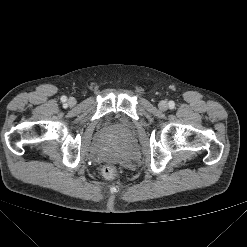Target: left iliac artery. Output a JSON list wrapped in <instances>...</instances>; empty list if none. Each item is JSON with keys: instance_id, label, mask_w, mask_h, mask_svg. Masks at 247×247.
I'll return each instance as SVG.
<instances>
[{"instance_id": "obj_1", "label": "left iliac artery", "mask_w": 247, "mask_h": 247, "mask_svg": "<svg viewBox=\"0 0 247 247\" xmlns=\"http://www.w3.org/2000/svg\"><path fill=\"white\" fill-rule=\"evenodd\" d=\"M169 107H170V109H173L175 107L174 101L169 102Z\"/></svg>"}]
</instances>
